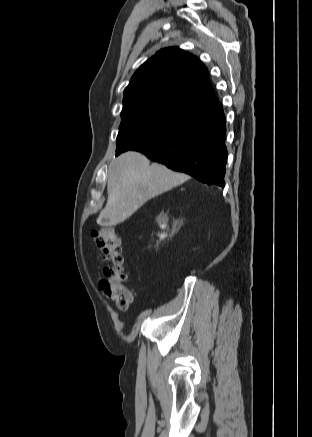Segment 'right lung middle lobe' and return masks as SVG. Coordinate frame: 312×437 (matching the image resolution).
Returning <instances> with one entry per match:
<instances>
[{
	"label": "right lung middle lobe",
	"instance_id": "dd1d6c3e",
	"mask_svg": "<svg viewBox=\"0 0 312 437\" xmlns=\"http://www.w3.org/2000/svg\"><path fill=\"white\" fill-rule=\"evenodd\" d=\"M196 115V112L163 103L123 108L116 156L170 137L187 126Z\"/></svg>",
	"mask_w": 312,
	"mask_h": 437
}]
</instances>
